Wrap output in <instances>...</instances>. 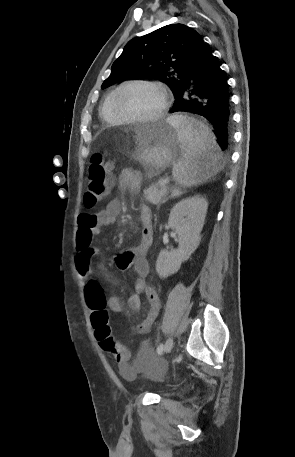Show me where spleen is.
<instances>
[{
	"label": "spleen",
	"mask_w": 295,
	"mask_h": 457,
	"mask_svg": "<svg viewBox=\"0 0 295 457\" xmlns=\"http://www.w3.org/2000/svg\"><path fill=\"white\" fill-rule=\"evenodd\" d=\"M167 121L176 128L182 150L172 171L180 185H198L221 169L222 155L208 126L183 115L170 116Z\"/></svg>",
	"instance_id": "obj_1"
}]
</instances>
